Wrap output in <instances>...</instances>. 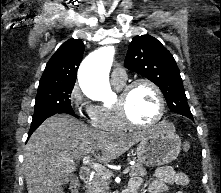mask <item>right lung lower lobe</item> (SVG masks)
Instances as JSON below:
<instances>
[{"instance_id":"obj_1","label":"right lung lower lobe","mask_w":221,"mask_h":193,"mask_svg":"<svg viewBox=\"0 0 221 193\" xmlns=\"http://www.w3.org/2000/svg\"><path fill=\"white\" fill-rule=\"evenodd\" d=\"M56 114V113H55ZM70 115H75V114H71V113H68ZM51 115H54V114H50V115H47V116H44L40 119H37V120H33L32 123H31V127H30V130H29V133H28V138L31 136V134L36 130V128H38L41 123L46 119L48 118L49 116Z\"/></svg>"}]
</instances>
